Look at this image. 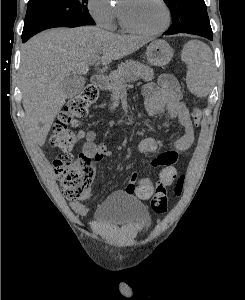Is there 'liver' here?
I'll return each instance as SVG.
<instances>
[{
	"instance_id": "1",
	"label": "liver",
	"mask_w": 245,
	"mask_h": 300,
	"mask_svg": "<svg viewBox=\"0 0 245 300\" xmlns=\"http://www.w3.org/2000/svg\"><path fill=\"white\" fill-rule=\"evenodd\" d=\"M148 42L97 27L54 28L32 37L22 48L21 84L26 126L43 146L67 95L62 82L71 73L85 75L90 61L102 53L101 63L121 59Z\"/></svg>"
}]
</instances>
